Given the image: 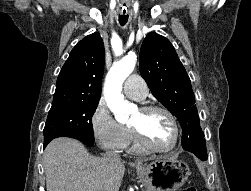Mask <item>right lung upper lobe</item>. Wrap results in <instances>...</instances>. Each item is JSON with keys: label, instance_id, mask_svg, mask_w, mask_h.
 I'll return each mask as SVG.
<instances>
[{"label": "right lung upper lobe", "instance_id": "obj_1", "mask_svg": "<svg viewBox=\"0 0 251 191\" xmlns=\"http://www.w3.org/2000/svg\"><path fill=\"white\" fill-rule=\"evenodd\" d=\"M104 57L99 33L95 32L79 41L59 73L52 106L99 102Z\"/></svg>", "mask_w": 251, "mask_h": 191}]
</instances>
